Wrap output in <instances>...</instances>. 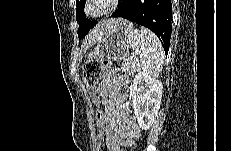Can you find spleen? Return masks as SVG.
<instances>
[{"label": "spleen", "mask_w": 231, "mask_h": 151, "mask_svg": "<svg viewBox=\"0 0 231 151\" xmlns=\"http://www.w3.org/2000/svg\"><path fill=\"white\" fill-rule=\"evenodd\" d=\"M129 44L135 53L134 61L148 77L157 78L162 71L164 50L158 37L141 27L129 35Z\"/></svg>", "instance_id": "obj_1"}]
</instances>
